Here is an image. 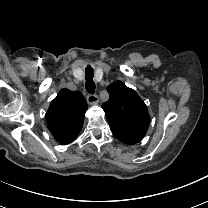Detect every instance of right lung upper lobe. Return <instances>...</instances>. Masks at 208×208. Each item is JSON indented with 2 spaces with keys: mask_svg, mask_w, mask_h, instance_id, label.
Here are the masks:
<instances>
[{
  "mask_svg": "<svg viewBox=\"0 0 208 208\" xmlns=\"http://www.w3.org/2000/svg\"><path fill=\"white\" fill-rule=\"evenodd\" d=\"M87 103L79 91L62 89L52 100L45 118L47 127L62 145L76 139L84 123Z\"/></svg>",
  "mask_w": 208,
  "mask_h": 208,
  "instance_id": "cb5924a9",
  "label": "right lung upper lobe"
}]
</instances>
